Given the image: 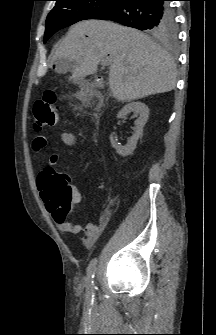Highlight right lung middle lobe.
Returning <instances> with one entry per match:
<instances>
[{"instance_id": "obj_1", "label": "right lung middle lobe", "mask_w": 216, "mask_h": 335, "mask_svg": "<svg viewBox=\"0 0 216 335\" xmlns=\"http://www.w3.org/2000/svg\"><path fill=\"white\" fill-rule=\"evenodd\" d=\"M55 7L47 16L44 43L58 30L78 21L93 19L116 0H55ZM175 21V20H174ZM156 37L173 40L177 35L176 24L167 26Z\"/></svg>"}]
</instances>
